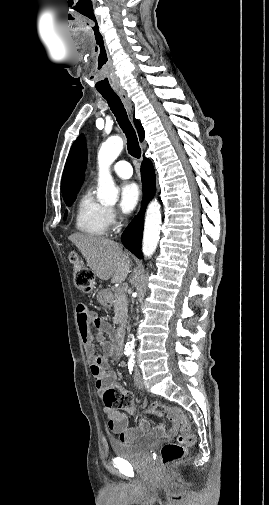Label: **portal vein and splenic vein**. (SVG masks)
<instances>
[{
	"label": "portal vein and splenic vein",
	"instance_id": "obj_1",
	"mask_svg": "<svg viewBox=\"0 0 269 505\" xmlns=\"http://www.w3.org/2000/svg\"><path fill=\"white\" fill-rule=\"evenodd\" d=\"M118 290L120 291V290H122V288H119Z\"/></svg>",
	"mask_w": 269,
	"mask_h": 505
}]
</instances>
